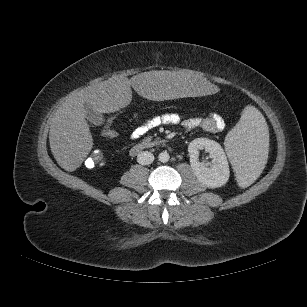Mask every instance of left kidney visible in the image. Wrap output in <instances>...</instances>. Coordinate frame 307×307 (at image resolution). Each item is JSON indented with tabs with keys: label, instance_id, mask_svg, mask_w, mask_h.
Segmentation results:
<instances>
[{
	"label": "left kidney",
	"instance_id": "obj_1",
	"mask_svg": "<svg viewBox=\"0 0 307 307\" xmlns=\"http://www.w3.org/2000/svg\"><path fill=\"white\" fill-rule=\"evenodd\" d=\"M205 150L212 159L210 167L200 162L199 150ZM191 168L197 179L209 188L225 185L229 179L230 171L228 160L221 145L207 138H197L188 146Z\"/></svg>",
	"mask_w": 307,
	"mask_h": 307
}]
</instances>
